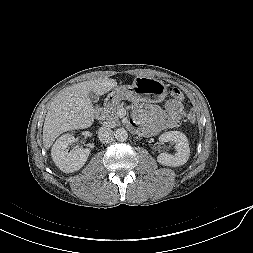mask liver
Listing matches in <instances>:
<instances>
[{
	"mask_svg": "<svg viewBox=\"0 0 253 253\" xmlns=\"http://www.w3.org/2000/svg\"><path fill=\"white\" fill-rule=\"evenodd\" d=\"M117 87L111 78L84 81L72 85L54 97L46 114L43 126V144L49 149L62 133L90 127L95 118V109L88 97L90 91L103 95Z\"/></svg>",
	"mask_w": 253,
	"mask_h": 253,
	"instance_id": "6515ba94",
	"label": "liver"
}]
</instances>
